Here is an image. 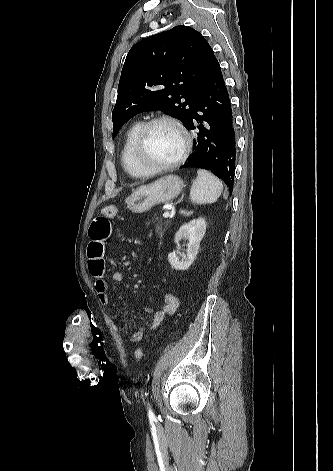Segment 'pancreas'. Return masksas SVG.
I'll return each mask as SVG.
<instances>
[{
	"mask_svg": "<svg viewBox=\"0 0 333 471\" xmlns=\"http://www.w3.org/2000/svg\"><path fill=\"white\" fill-rule=\"evenodd\" d=\"M155 231L162 235L165 230L169 227V222L155 219Z\"/></svg>",
	"mask_w": 333,
	"mask_h": 471,
	"instance_id": "cf45deb5",
	"label": "pancreas"
}]
</instances>
